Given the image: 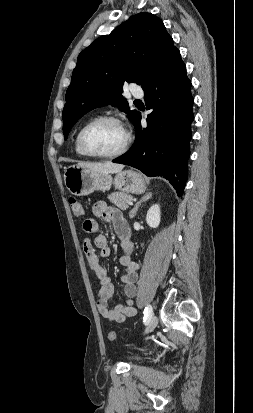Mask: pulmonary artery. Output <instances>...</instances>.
<instances>
[{"mask_svg":"<svg viewBox=\"0 0 253 413\" xmlns=\"http://www.w3.org/2000/svg\"><path fill=\"white\" fill-rule=\"evenodd\" d=\"M131 93L134 97L140 98L143 96V90L140 87H133Z\"/></svg>","mask_w":253,"mask_h":413,"instance_id":"e3ab8cb5","label":"pulmonary artery"}]
</instances>
